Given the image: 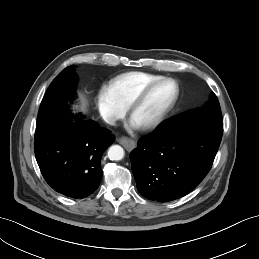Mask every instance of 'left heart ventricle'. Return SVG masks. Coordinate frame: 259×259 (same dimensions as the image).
Here are the masks:
<instances>
[{
	"label": "left heart ventricle",
	"instance_id": "b2bd125f",
	"mask_svg": "<svg viewBox=\"0 0 259 259\" xmlns=\"http://www.w3.org/2000/svg\"><path fill=\"white\" fill-rule=\"evenodd\" d=\"M176 87L171 82H165L156 86L135 109L131 119L142 126L153 119L172 101Z\"/></svg>",
	"mask_w": 259,
	"mask_h": 259
}]
</instances>
